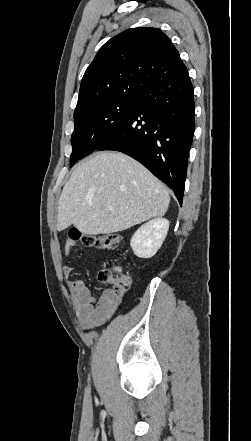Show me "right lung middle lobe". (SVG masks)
<instances>
[{
    "mask_svg": "<svg viewBox=\"0 0 251 441\" xmlns=\"http://www.w3.org/2000/svg\"><path fill=\"white\" fill-rule=\"evenodd\" d=\"M140 99L139 94L109 97L90 103L76 112L70 166L105 142L135 110Z\"/></svg>",
    "mask_w": 251,
    "mask_h": 441,
    "instance_id": "right-lung-middle-lobe-1",
    "label": "right lung middle lobe"
}]
</instances>
